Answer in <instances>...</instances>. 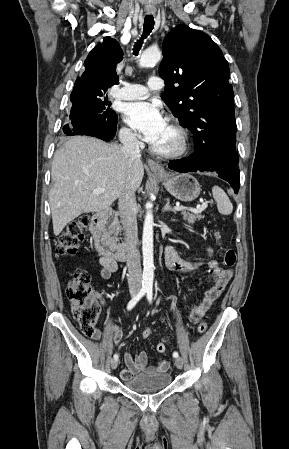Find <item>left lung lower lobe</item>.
Segmentation results:
<instances>
[{
  "label": "left lung lower lobe",
  "instance_id": "left-lung-lower-lobe-1",
  "mask_svg": "<svg viewBox=\"0 0 289 449\" xmlns=\"http://www.w3.org/2000/svg\"><path fill=\"white\" fill-rule=\"evenodd\" d=\"M238 154L235 144L228 138L221 136L215 139L211 145L206 146V152L197 150L189 157L169 161L168 167L177 172H216L218 176L231 185L235 193L240 187V172L237 164Z\"/></svg>",
  "mask_w": 289,
  "mask_h": 449
}]
</instances>
